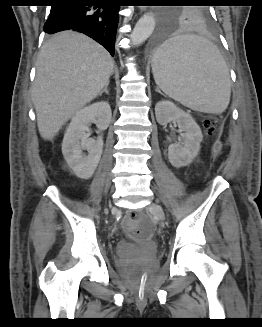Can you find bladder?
Instances as JSON below:
<instances>
[{
  "mask_svg": "<svg viewBox=\"0 0 262 327\" xmlns=\"http://www.w3.org/2000/svg\"><path fill=\"white\" fill-rule=\"evenodd\" d=\"M139 256V252L137 250H129L123 257L118 260V267L124 268L130 265L131 261H134Z\"/></svg>",
  "mask_w": 262,
  "mask_h": 327,
  "instance_id": "obj_1",
  "label": "bladder"
}]
</instances>
